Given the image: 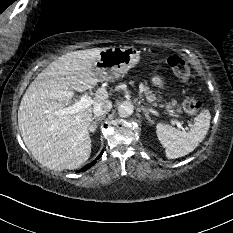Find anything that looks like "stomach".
<instances>
[{
  "label": "stomach",
  "mask_w": 233,
  "mask_h": 233,
  "mask_svg": "<svg viewBox=\"0 0 233 233\" xmlns=\"http://www.w3.org/2000/svg\"><path fill=\"white\" fill-rule=\"evenodd\" d=\"M140 61V51L132 46H115L104 48L94 63V71L103 80H114L126 74ZM152 82L162 88L164 79L161 76L152 78Z\"/></svg>",
  "instance_id": "0dacf381"
}]
</instances>
